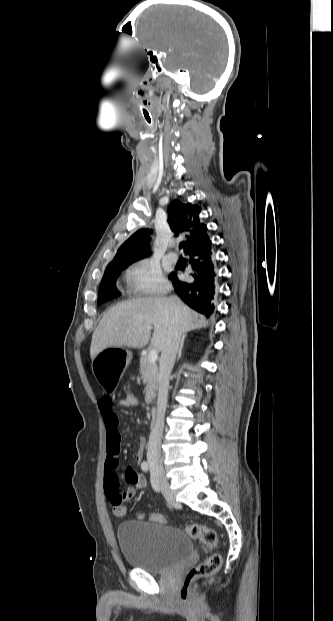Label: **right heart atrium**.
Masks as SVG:
<instances>
[{
	"instance_id": "right-heart-atrium-1",
	"label": "right heart atrium",
	"mask_w": 333,
	"mask_h": 621,
	"mask_svg": "<svg viewBox=\"0 0 333 621\" xmlns=\"http://www.w3.org/2000/svg\"><path fill=\"white\" fill-rule=\"evenodd\" d=\"M127 282L130 292L136 295H160L169 289L168 281L160 268L146 259L132 265L128 271Z\"/></svg>"
}]
</instances>
